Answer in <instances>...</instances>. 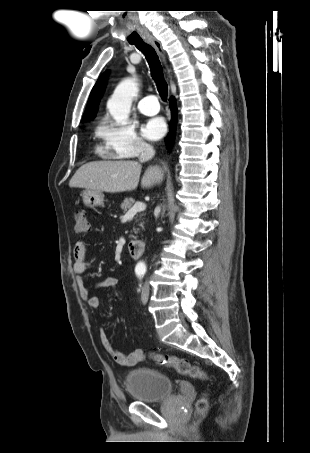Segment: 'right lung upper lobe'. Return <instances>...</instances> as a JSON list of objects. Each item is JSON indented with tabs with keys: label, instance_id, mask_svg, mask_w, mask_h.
Masks as SVG:
<instances>
[{
	"label": "right lung upper lobe",
	"instance_id": "cb5924a9",
	"mask_svg": "<svg viewBox=\"0 0 310 453\" xmlns=\"http://www.w3.org/2000/svg\"><path fill=\"white\" fill-rule=\"evenodd\" d=\"M106 76L107 72H105L96 82L94 85L89 100L88 104L86 107V110L83 115V120H89L92 119L95 116V113L98 108V104L100 102L101 96L104 92L105 85H106Z\"/></svg>",
	"mask_w": 310,
	"mask_h": 453
}]
</instances>
